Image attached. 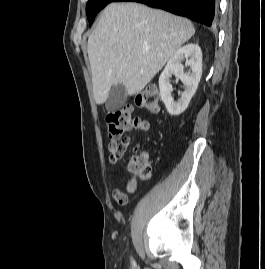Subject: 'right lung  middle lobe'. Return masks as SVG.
I'll use <instances>...</instances> for the list:
<instances>
[{
    "mask_svg": "<svg viewBox=\"0 0 265 269\" xmlns=\"http://www.w3.org/2000/svg\"><path fill=\"white\" fill-rule=\"evenodd\" d=\"M113 1L114 0H89L86 5V14L89 20V25L93 23L97 13Z\"/></svg>",
    "mask_w": 265,
    "mask_h": 269,
    "instance_id": "1",
    "label": "right lung middle lobe"
}]
</instances>
